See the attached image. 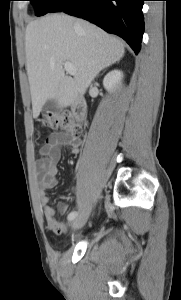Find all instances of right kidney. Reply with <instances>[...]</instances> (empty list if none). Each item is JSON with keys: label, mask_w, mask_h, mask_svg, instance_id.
<instances>
[{"label": "right kidney", "mask_w": 181, "mask_h": 300, "mask_svg": "<svg viewBox=\"0 0 181 300\" xmlns=\"http://www.w3.org/2000/svg\"><path fill=\"white\" fill-rule=\"evenodd\" d=\"M123 76V72L120 70L109 72L103 79L104 88L110 93L114 92L121 85Z\"/></svg>", "instance_id": "ca27d5eb"}]
</instances>
